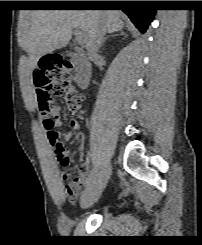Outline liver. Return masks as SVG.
<instances>
[{
    "mask_svg": "<svg viewBox=\"0 0 202 245\" xmlns=\"http://www.w3.org/2000/svg\"><path fill=\"white\" fill-rule=\"evenodd\" d=\"M101 23L109 33L124 27L121 12L116 10H35L31 13L30 26L22 34L20 45L29 53L31 68H36L42 56L69 43L74 29L85 33L84 43L89 49Z\"/></svg>",
    "mask_w": 202,
    "mask_h": 245,
    "instance_id": "liver-1",
    "label": "liver"
}]
</instances>
